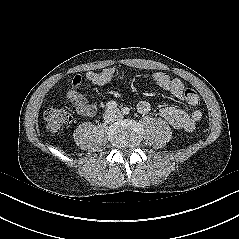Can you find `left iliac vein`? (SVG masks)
<instances>
[{"instance_id":"4c4485c4","label":"left iliac vein","mask_w":239,"mask_h":239,"mask_svg":"<svg viewBox=\"0 0 239 239\" xmlns=\"http://www.w3.org/2000/svg\"><path fill=\"white\" fill-rule=\"evenodd\" d=\"M114 112H118V109H115Z\"/></svg>"}]
</instances>
